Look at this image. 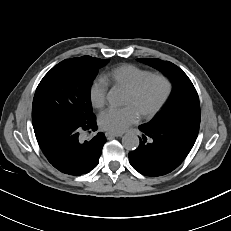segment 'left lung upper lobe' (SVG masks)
Listing matches in <instances>:
<instances>
[{"instance_id":"obj_1","label":"left lung upper lobe","mask_w":231,"mask_h":231,"mask_svg":"<svg viewBox=\"0 0 231 231\" xmlns=\"http://www.w3.org/2000/svg\"><path fill=\"white\" fill-rule=\"evenodd\" d=\"M167 75L173 83L171 97L163 112L147 127L178 128L199 132L200 104L198 94L188 76L175 64L156 58L138 59Z\"/></svg>"}]
</instances>
